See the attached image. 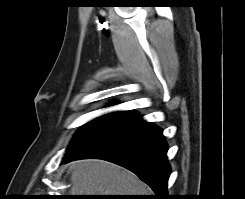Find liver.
<instances>
[{
    "label": "liver",
    "mask_w": 245,
    "mask_h": 199,
    "mask_svg": "<svg viewBox=\"0 0 245 199\" xmlns=\"http://www.w3.org/2000/svg\"><path fill=\"white\" fill-rule=\"evenodd\" d=\"M71 195H150L135 174L111 162L85 159L71 164Z\"/></svg>",
    "instance_id": "obj_1"
}]
</instances>
